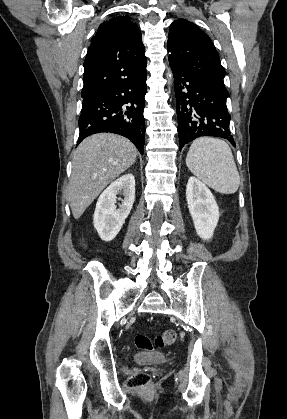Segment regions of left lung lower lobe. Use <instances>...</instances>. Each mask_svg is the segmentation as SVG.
I'll return each mask as SVG.
<instances>
[{
  "label": "left lung lower lobe",
  "mask_w": 287,
  "mask_h": 419,
  "mask_svg": "<svg viewBox=\"0 0 287 419\" xmlns=\"http://www.w3.org/2000/svg\"><path fill=\"white\" fill-rule=\"evenodd\" d=\"M173 74L180 150L190 141L206 136L225 138L235 145L226 106L229 94L223 80L178 70Z\"/></svg>",
  "instance_id": "1"
}]
</instances>
